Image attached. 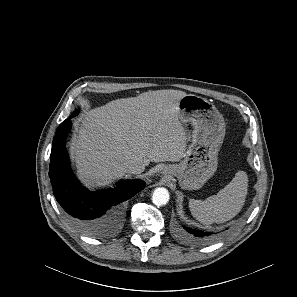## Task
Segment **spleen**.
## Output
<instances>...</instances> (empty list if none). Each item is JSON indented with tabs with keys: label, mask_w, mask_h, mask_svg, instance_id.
I'll return each mask as SVG.
<instances>
[{
	"label": "spleen",
	"mask_w": 297,
	"mask_h": 297,
	"mask_svg": "<svg viewBox=\"0 0 297 297\" xmlns=\"http://www.w3.org/2000/svg\"><path fill=\"white\" fill-rule=\"evenodd\" d=\"M248 175L238 171L235 177L216 195L207 199H190L192 215L203 224L224 223L234 218L244 206L248 194Z\"/></svg>",
	"instance_id": "spleen-1"
}]
</instances>
